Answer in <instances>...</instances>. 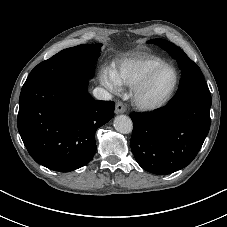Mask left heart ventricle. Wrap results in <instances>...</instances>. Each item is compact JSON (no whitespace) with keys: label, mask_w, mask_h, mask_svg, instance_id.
Returning a JSON list of instances; mask_svg holds the SVG:
<instances>
[{"label":"left heart ventricle","mask_w":227,"mask_h":227,"mask_svg":"<svg viewBox=\"0 0 227 227\" xmlns=\"http://www.w3.org/2000/svg\"><path fill=\"white\" fill-rule=\"evenodd\" d=\"M175 73L171 69H165L158 73L144 93L146 102H157L161 100L173 87Z\"/></svg>","instance_id":"b2bd125f"}]
</instances>
